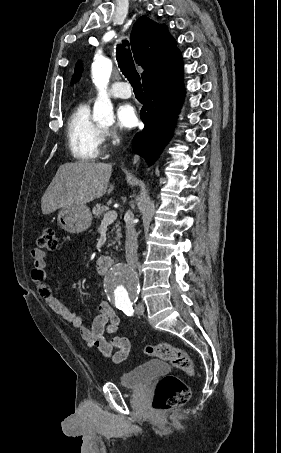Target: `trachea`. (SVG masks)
<instances>
[{
  "mask_svg": "<svg viewBox=\"0 0 281 453\" xmlns=\"http://www.w3.org/2000/svg\"><path fill=\"white\" fill-rule=\"evenodd\" d=\"M129 46L127 40H123L117 45L116 58L123 75L129 80L136 98H143V89L140 81V75L136 71L135 64L132 58L131 50L126 48Z\"/></svg>",
  "mask_w": 281,
  "mask_h": 453,
  "instance_id": "1",
  "label": "trachea"
}]
</instances>
